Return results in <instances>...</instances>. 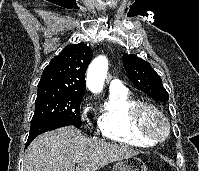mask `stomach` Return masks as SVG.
<instances>
[{
	"label": "stomach",
	"mask_w": 199,
	"mask_h": 171,
	"mask_svg": "<svg viewBox=\"0 0 199 171\" xmlns=\"http://www.w3.org/2000/svg\"><path fill=\"white\" fill-rule=\"evenodd\" d=\"M113 171H147V167L140 158L131 156L117 160Z\"/></svg>",
	"instance_id": "1"
}]
</instances>
